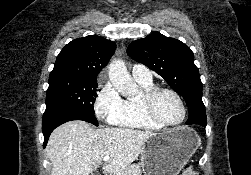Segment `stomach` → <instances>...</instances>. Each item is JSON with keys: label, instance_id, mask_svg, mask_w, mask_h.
I'll return each mask as SVG.
<instances>
[{"label": "stomach", "instance_id": "stomach-1", "mask_svg": "<svg viewBox=\"0 0 251 175\" xmlns=\"http://www.w3.org/2000/svg\"><path fill=\"white\" fill-rule=\"evenodd\" d=\"M200 143V135L187 125L174 127L170 133H153L141 151L144 175H178Z\"/></svg>", "mask_w": 251, "mask_h": 175}]
</instances>
